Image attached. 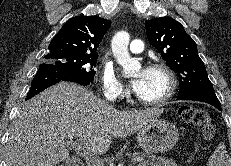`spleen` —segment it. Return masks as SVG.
<instances>
[{
	"mask_svg": "<svg viewBox=\"0 0 231 166\" xmlns=\"http://www.w3.org/2000/svg\"><path fill=\"white\" fill-rule=\"evenodd\" d=\"M207 166H231V158L229 157L223 142L219 143L213 154L210 156Z\"/></svg>",
	"mask_w": 231,
	"mask_h": 166,
	"instance_id": "obj_1",
	"label": "spleen"
}]
</instances>
